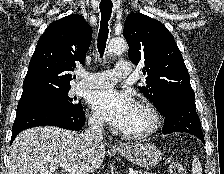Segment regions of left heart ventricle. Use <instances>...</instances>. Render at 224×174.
<instances>
[{"label": "left heart ventricle", "mask_w": 224, "mask_h": 174, "mask_svg": "<svg viewBox=\"0 0 224 174\" xmlns=\"http://www.w3.org/2000/svg\"><path fill=\"white\" fill-rule=\"evenodd\" d=\"M149 124L150 118L147 112L143 108L134 105L127 122L121 130L124 132L141 131L147 128Z\"/></svg>", "instance_id": "1"}]
</instances>
